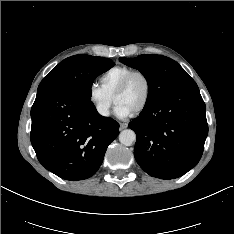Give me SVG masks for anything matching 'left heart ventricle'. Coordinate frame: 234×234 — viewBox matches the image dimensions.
<instances>
[{
	"label": "left heart ventricle",
	"mask_w": 234,
	"mask_h": 234,
	"mask_svg": "<svg viewBox=\"0 0 234 234\" xmlns=\"http://www.w3.org/2000/svg\"><path fill=\"white\" fill-rule=\"evenodd\" d=\"M145 94V80L141 76H135L127 90L115 99V104L121 105L133 113L142 104Z\"/></svg>",
	"instance_id": "1"
}]
</instances>
